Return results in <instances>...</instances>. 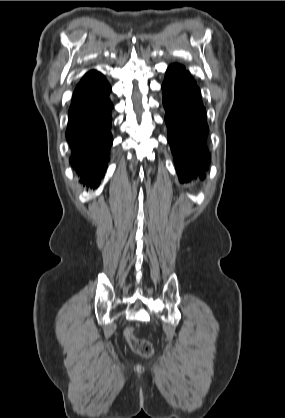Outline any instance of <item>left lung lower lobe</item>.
<instances>
[{
  "label": "left lung lower lobe",
  "mask_w": 285,
  "mask_h": 418,
  "mask_svg": "<svg viewBox=\"0 0 285 418\" xmlns=\"http://www.w3.org/2000/svg\"><path fill=\"white\" fill-rule=\"evenodd\" d=\"M168 142L181 183L208 169L206 109L200 89L186 68L170 65L162 84Z\"/></svg>",
  "instance_id": "1"
}]
</instances>
